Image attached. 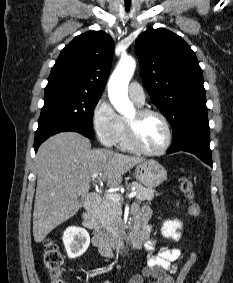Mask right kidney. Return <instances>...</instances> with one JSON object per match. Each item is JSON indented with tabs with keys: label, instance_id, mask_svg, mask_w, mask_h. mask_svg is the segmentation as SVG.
<instances>
[{
	"label": "right kidney",
	"instance_id": "ca27d5eb",
	"mask_svg": "<svg viewBox=\"0 0 233 283\" xmlns=\"http://www.w3.org/2000/svg\"><path fill=\"white\" fill-rule=\"evenodd\" d=\"M63 243L69 258L81 256L90 243L89 233L80 227H68L63 234Z\"/></svg>",
	"mask_w": 233,
	"mask_h": 283
}]
</instances>
